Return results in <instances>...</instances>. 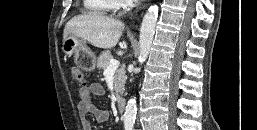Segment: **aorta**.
I'll return each instance as SVG.
<instances>
[{"label": "aorta", "instance_id": "obj_1", "mask_svg": "<svg viewBox=\"0 0 257 130\" xmlns=\"http://www.w3.org/2000/svg\"><path fill=\"white\" fill-rule=\"evenodd\" d=\"M158 19V7L156 5L151 6L148 11L145 13L141 27H140V53L138 56V61L142 65L150 52L152 45L156 22ZM140 70V68L138 69ZM137 112L136 98L132 97L128 100L125 113H124V128L125 130H132L135 123Z\"/></svg>", "mask_w": 257, "mask_h": 130}]
</instances>
